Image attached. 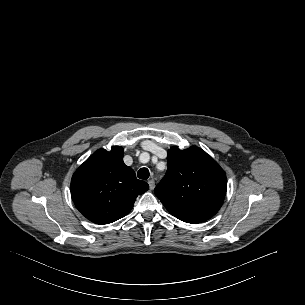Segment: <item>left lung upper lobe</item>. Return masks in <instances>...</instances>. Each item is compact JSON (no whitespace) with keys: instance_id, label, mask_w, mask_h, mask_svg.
Segmentation results:
<instances>
[{"instance_id":"left-lung-upper-lobe-1","label":"left lung upper lobe","mask_w":305,"mask_h":305,"mask_svg":"<svg viewBox=\"0 0 305 305\" xmlns=\"http://www.w3.org/2000/svg\"><path fill=\"white\" fill-rule=\"evenodd\" d=\"M168 169L154 192L166 209L178 219L200 223L220 209L227 189L224 171L198 147L168 151Z\"/></svg>"}]
</instances>
